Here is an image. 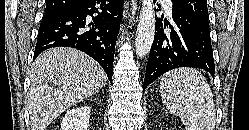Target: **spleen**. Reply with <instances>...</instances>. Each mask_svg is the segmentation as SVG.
I'll list each match as a JSON object with an SVG mask.
<instances>
[{
    "label": "spleen",
    "instance_id": "obj_1",
    "mask_svg": "<svg viewBox=\"0 0 249 130\" xmlns=\"http://www.w3.org/2000/svg\"><path fill=\"white\" fill-rule=\"evenodd\" d=\"M160 93L167 110L180 117L186 130H214L213 93L201 72L194 68L167 72L161 78Z\"/></svg>",
    "mask_w": 249,
    "mask_h": 130
}]
</instances>
